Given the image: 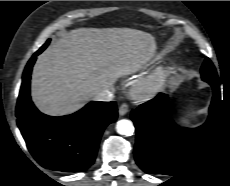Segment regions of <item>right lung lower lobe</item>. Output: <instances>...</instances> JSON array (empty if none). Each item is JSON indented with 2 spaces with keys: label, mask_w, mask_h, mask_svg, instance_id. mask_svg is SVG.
<instances>
[{
  "label": "right lung lower lobe",
  "mask_w": 230,
  "mask_h": 186,
  "mask_svg": "<svg viewBox=\"0 0 230 186\" xmlns=\"http://www.w3.org/2000/svg\"><path fill=\"white\" fill-rule=\"evenodd\" d=\"M39 50L23 72L18 96L17 124L27 148L44 168L82 172L93 164L105 127L117 118L115 102H91L62 117L40 113L31 101L30 78Z\"/></svg>",
  "instance_id": "obj_1"
}]
</instances>
